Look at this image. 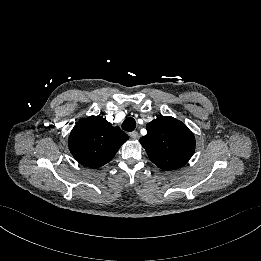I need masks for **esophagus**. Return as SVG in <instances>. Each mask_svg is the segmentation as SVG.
I'll list each match as a JSON object with an SVG mask.
<instances>
[{
	"instance_id": "1",
	"label": "esophagus",
	"mask_w": 261,
	"mask_h": 261,
	"mask_svg": "<svg viewBox=\"0 0 261 261\" xmlns=\"http://www.w3.org/2000/svg\"><path fill=\"white\" fill-rule=\"evenodd\" d=\"M129 136L132 138V139H138L139 138V133L137 131H133V132H130L129 133Z\"/></svg>"
}]
</instances>
